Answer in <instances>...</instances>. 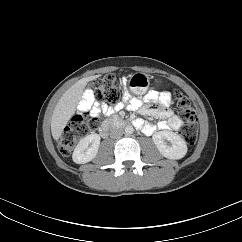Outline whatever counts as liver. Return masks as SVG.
<instances>
[{
  "instance_id": "obj_1",
  "label": "liver",
  "mask_w": 242,
  "mask_h": 242,
  "mask_svg": "<svg viewBox=\"0 0 242 242\" xmlns=\"http://www.w3.org/2000/svg\"><path fill=\"white\" fill-rule=\"evenodd\" d=\"M99 75L83 78L70 87L58 101L51 120V133L55 140H58L65 126L72 117L83 89L89 81L95 80Z\"/></svg>"
}]
</instances>
